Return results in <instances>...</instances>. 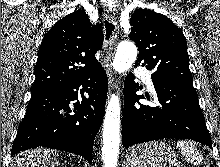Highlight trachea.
Returning a JSON list of instances; mask_svg holds the SVG:
<instances>
[{
    "label": "trachea",
    "instance_id": "3493384b",
    "mask_svg": "<svg viewBox=\"0 0 220 167\" xmlns=\"http://www.w3.org/2000/svg\"><path fill=\"white\" fill-rule=\"evenodd\" d=\"M106 39L109 40L110 36L112 35V32L114 31L115 27L112 22L106 21Z\"/></svg>",
    "mask_w": 220,
    "mask_h": 167
}]
</instances>
